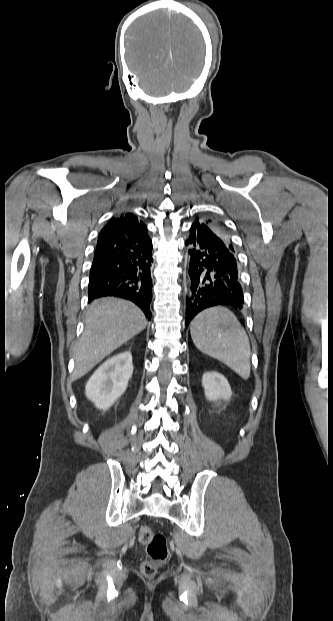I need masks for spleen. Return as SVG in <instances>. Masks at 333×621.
I'll list each match as a JSON object with an SVG mask.
<instances>
[{"label":"spleen","instance_id":"spleen-1","mask_svg":"<svg viewBox=\"0 0 333 621\" xmlns=\"http://www.w3.org/2000/svg\"><path fill=\"white\" fill-rule=\"evenodd\" d=\"M192 340L203 354L222 362L241 378L251 372L250 342L236 316L220 308L200 312L191 322Z\"/></svg>","mask_w":333,"mask_h":621}]
</instances>
